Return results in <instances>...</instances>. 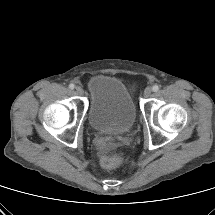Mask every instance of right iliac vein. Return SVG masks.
I'll return each instance as SVG.
<instances>
[{
    "label": "right iliac vein",
    "mask_w": 215,
    "mask_h": 215,
    "mask_svg": "<svg viewBox=\"0 0 215 215\" xmlns=\"http://www.w3.org/2000/svg\"><path fill=\"white\" fill-rule=\"evenodd\" d=\"M75 90H76V93H77L78 95H83V93H84L82 87H80V86H77V87L75 88Z\"/></svg>",
    "instance_id": "63e3f726"
}]
</instances>
